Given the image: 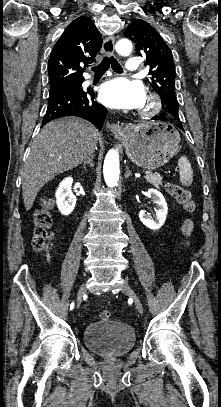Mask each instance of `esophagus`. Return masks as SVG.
Wrapping results in <instances>:
<instances>
[{
	"instance_id": "obj_1",
	"label": "esophagus",
	"mask_w": 221,
	"mask_h": 407,
	"mask_svg": "<svg viewBox=\"0 0 221 407\" xmlns=\"http://www.w3.org/2000/svg\"><path fill=\"white\" fill-rule=\"evenodd\" d=\"M102 50H103L104 54L107 56H112L114 54V37L113 36H109L104 40L103 45H102ZM107 127L111 130V132L115 136H123L130 129L128 126H124V125H121L118 123H110L109 121H107Z\"/></svg>"
}]
</instances>
